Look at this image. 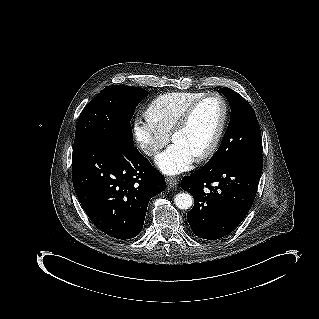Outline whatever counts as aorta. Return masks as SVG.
<instances>
[{"instance_id": "1", "label": "aorta", "mask_w": 319, "mask_h": 319, "mask_svg": "<svg viewBox=\"0 0 319 319\" xmlns=\"http://www.w3.org/2000/svg\"><path fill=\"white\" fill-rule=\"evenodd\" d=\"M174 203L179 209H189L193 204V198L189 193H179L174 198Z\"/></svg>"}]
</instances>
